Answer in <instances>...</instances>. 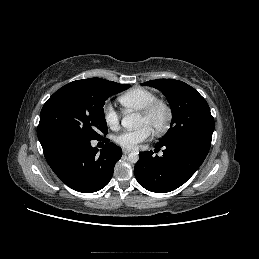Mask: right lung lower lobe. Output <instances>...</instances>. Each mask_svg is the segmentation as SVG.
<instances>
[{"instance_id": "1", "label": "right lung lower lobe", "mask_w": 259, "mask_h": 259, "mask_svg": "<svg viewBox=\"0 0 259 259\" xmlns=\"http://www.w3.org/2000/svg\"><path fill=\"white\" fill-rule=\"evenodd\" d=\"M106 144L98 153L91 140L73 135H58L41 142L45 158L54 173L70 188L92 193L105 187L122 156L120 147Z\"/></svg>"}]
</instances>
